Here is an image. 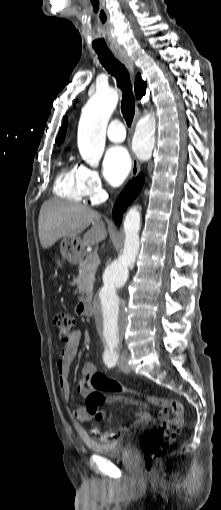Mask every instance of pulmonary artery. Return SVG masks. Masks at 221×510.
Wrapping results in <instances>:
<instances>
[{
  "label": "pulmonary artery",
  "instance_id": "pulmonary-artery-1",
  "mask_svg": "<svg viewBox=\"0 0 221 510\" xmlns=\"http://www.w3.org/2000/svg\"><path fill=\"white\" fill-rule=\"evenodd\" d=\"M107 137L112 142H122L125 139V128L123 124L118 120L111 122L107 129Z\"/></svg>",
  "mask_w": 221,
  "mask_h": 510
}]
</instances>
